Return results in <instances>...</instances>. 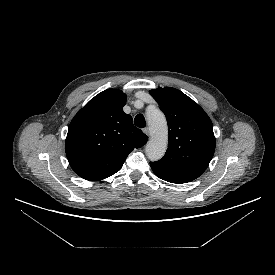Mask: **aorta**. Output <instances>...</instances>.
Returning a JSON list of instances; mask_svg holds the SVG:
<instances>
[{
    "instance_id": "obj_1",
    "label": "aorta",
    "mask_w": 275,
    "mask_h": 275,
    "mask_svg": "<svg viewBox=\"0 0 275 275\" xmlns=\"http://www.w3.org/2000/svg\"><path fill=\"white\" fill-rule=\"evenodd\" d=\"M150 140L146 145V155L151 161L161 159L167 149L168 127L164 114L154 109L147 112Z\"/></svg>"
}]
</instances>
